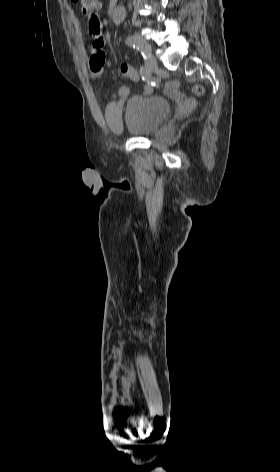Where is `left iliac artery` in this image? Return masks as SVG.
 I'll list each match as a JSON object with an SVG mask.
<instances>
[{"label":"left iliac artery","instance_id":"44dca946","mask_svg":"<svg viewBox=\"0 0 280 472\" xmlns=\"http://www.w3.org/2000/svg\"><path fill=\"white\" fill-rule=\"evenodd\" d=\"M126 44L128 46H132L133 48H136L137 50H139L141 54L143 55V57L148 51L147 46L136 36L128 37L126 39Z\"/></svg>","mask_w":280,"mask_h":472}]
</instances>
